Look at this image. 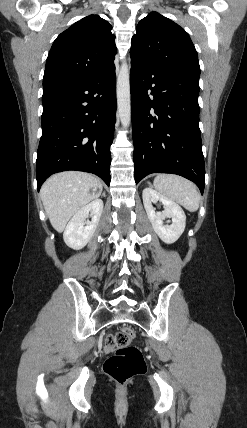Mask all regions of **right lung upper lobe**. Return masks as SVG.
Returning a JSON list of instances; mask_svg holds the SVG:
<instances>
[{"mask_svg": "<svg viewBox=\"0 0 247 428\" xmlns=\"http://www.w3.org/2000/svg\"><path fill=\"white\" fill-rule=\"evenodd\" d=\"M112 26L98 15L74 23L54 41L43 77V90L81 82L115 59Z\"/></svg>", "mask_w": 247, "mask_h": 428, "instance_id": "right-lung-upper-lobe-1", "label": "right lung upper lobe"}]
</instances>
